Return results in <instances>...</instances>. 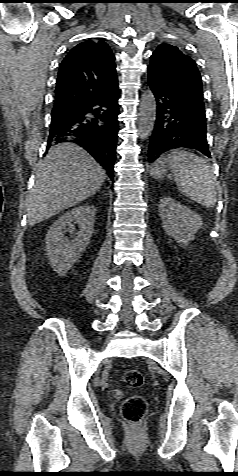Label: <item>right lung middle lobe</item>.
<instances>
[{
	"label": "right lung middle lobe",
	"mask_w": 238,
	"mask_h": 476,
	"mask_svg": "<svg viewBox=\"0 0 238 476\" xmlns=\"http://www.w3.org/2000/svg\"><path fill=\"white\" fill-rule=\"evenodd\" d=\"M76 109H59L52 111V121H59L67 118L71 114L75 113Z\"/></svg>",
	"instance_id": "1"
}]
</instances>
